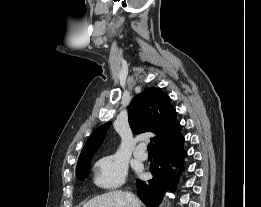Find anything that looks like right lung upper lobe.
I'll list each match as a JSON object with an SVG mask.
<instances>
[{
    "instance_id": "right-lung-upper-lobe-1",
    "label": "right lung upper lobe",
    "mask_w": 261,
    "mask_h": 207,
    "mask_svg": "<svg viewBox=\"0 0 261 207\" xmlns=\"http://www.w3.org/2000/svg\"><path fill=\"white\" fill-rule=\"evenodd\" d=\"M128 109L129 124L135 134L145 132L156 134V137L151 139L154 141L155 149L182 137L176 110L171 106L170 97L160 88H149L136 95ZM110 124V122L102 124L93 132L81 151L78 163L94 155Z\"/></svg>"
}]
</instances>
